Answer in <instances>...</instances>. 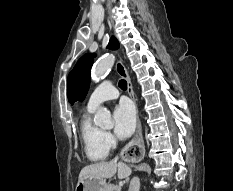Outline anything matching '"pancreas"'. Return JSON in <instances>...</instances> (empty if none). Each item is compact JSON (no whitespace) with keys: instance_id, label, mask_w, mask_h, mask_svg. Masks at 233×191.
<instances>
[{"instance_id":"cf45deb5","label":"pancreas","mask_w":233,"mask_h":191,"mask_svg":"<svg viewBox=\"0 0 233 191\" xmlns=\"http://www.w3.org/2000/svg\"><path fill=\"white\" fill-rule=\"evenodd\" d=\"M120 186L117 185H108L106 191H121Z\"/></svg>"}]
</instances>
